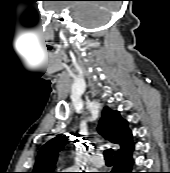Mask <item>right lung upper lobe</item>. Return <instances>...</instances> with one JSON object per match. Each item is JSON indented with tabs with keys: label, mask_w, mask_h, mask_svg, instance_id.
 Here are the masks:
<instances>
[{
	"label": "right lung upper lobe",
	"mask_w": 170,
	"mask_h": 173,
	"mask_svg": "<svg viewBox=\"0 0 170 173\" xmlns=\"http://www.w3.org/2000/svg\"><path fill=\"white\" fill-rule=\"evenodd\" d=\"M98 130L104 138L120 146L114 154L133 144L132 132L128 128L127 121L121 118L118 111H113L109 107L103 109ZM68 142V136L60 134L42 146L32 173H54L58 153Z\"/></svg>",
	"instance_id": "1"
}]
</instances>
